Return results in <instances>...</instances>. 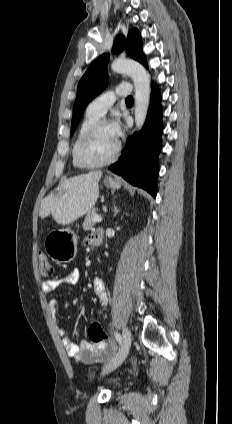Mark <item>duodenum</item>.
I'll return each instance as SVG.
<instances>
[{
  "mask_svg": "<svg viewBox=\"0 0 232 424\" xmlns=\"http://www.w3.org/2000/svg\"><path fill=\"white\" fill-rule=\"evenodd\" d=\"M101 234L97 236L96 241H95V246H100L103 242V232L100 231Z\"/></svg>",
  "mask_w": 232,
  "mask_h": 424,
  "instance_id": "obj_1",
  "label": "duodenum"
}]
</instances>
